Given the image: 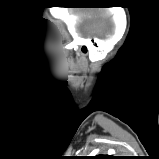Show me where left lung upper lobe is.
<instances>
[{"instance_id":"obj_1","label":"left lung upper lobe","mask_w":159,"mask_h":159,"mask_svg":"<svg viewBox=\"0 0 159 159\" xmlns=\"http://www.w3.org/2000/svg\"><path fill=\"white\" fill-rule=\"evenodd\" d=\"M92 159H114L112 156H108V155H99V156H96Z\"/></svg>"}]
</instances>
